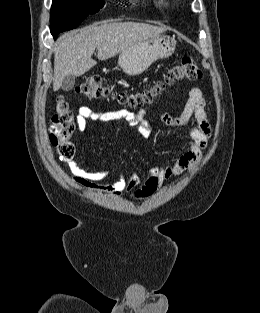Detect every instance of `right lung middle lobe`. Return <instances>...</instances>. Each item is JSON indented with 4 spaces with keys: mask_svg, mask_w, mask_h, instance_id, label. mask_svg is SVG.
Segmentation results:
<instances>
[{
    "mask_svg": "<svg viewBox=\"0 0 260 313\" xmlns=\"http://www.w3.org/2000/svg\"><path fill=\"white\" fill-rule=\"evenodd\" d=\"M104 6L102 0H53L50 13V32L54 38L60 32L76 28L89 14Z\"/></svg>",
    "mask_w": 260,
    "mask_h": 313,
    "instance_id": "obj_1",
    "label": "right lung middle lobe"
}]
</instances>
